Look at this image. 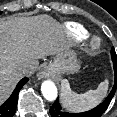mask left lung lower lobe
I'll return each mask as SVG.
<instances>
[{
    "mask_svg": "<svg viewBox=\"0 0 117 117\" xmlns=\"http://www.w3.org/2000/svg\"><path fill=\"white\" fill-rule=\"evenodd\" d=\"M114 72H115V83L114 86L106 97V99L94 109L82 112V113H68L64 112L58 102V99L54 102V104L50 107V114L52 117H101V115L106 111L108 108L117 87V61L113 62Z\"/></svg>",
    "mask_w": 117,
    "mask_h": 117,
    "instance_id": "1",
    "label": "left lung lower lobe"
}]
</instances>
